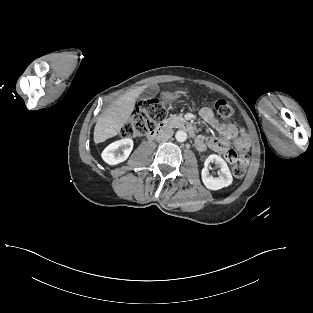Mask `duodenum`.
I'll list each match as a JSON object with an SVG mask.
<instances>
[{
  "label": "duodenum",
  "instance_id": "obj_1",
  "mask_svg": "<svg viewBox=\"0 0 313 313\" xmlns=\"http://www.w3.org/2000/svg\"><path fill=\"white\" fill-rule=\"evenodd\" d=\"M172 127H177L188 132L190 135H195V129L188 121L182 118H173L158 125L153 131L148 133L147 138L152 140L161 137Z\"/></svg>",
  "mask_w": 313,
  "mask_h": 313
}]
</instances>
